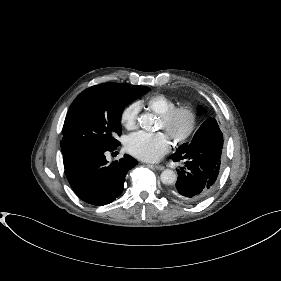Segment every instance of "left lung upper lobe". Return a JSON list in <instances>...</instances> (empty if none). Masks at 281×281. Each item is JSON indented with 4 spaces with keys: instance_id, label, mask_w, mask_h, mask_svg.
<instances>
[{
    "instance_id": "left-lung-upper-lobe-1",
    "label": "left lung upper lobe",
    "mask_w": 281,
    "mask_h": 281,
    "mask_svg": "<svg viewBox=\"0 0 281 281\" xmlns=\"http://www.w3.org/2000/svg\"><path fill=\"white\" fill-rule=\"evenodd\" d=\"M204 112H205L204 109H202V108L199 109V113H204ZM185 145H186V143L182 144V145L177 149V151H176L175 153H180V152H182L183 149H184V147H185Z\"/></svg>"
}]
</instances>
